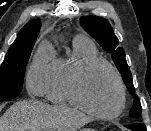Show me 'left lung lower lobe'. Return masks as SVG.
Here are the masks:
<instances>
[{"label":"left lung lower lobe","mask_w":151,"mask_h":131,"mask_svg":"<svg viewBox=\"0 0 151 131\" xmlns=\"http://www.w3.org/2000/svg\"><path fill=\"white\" fill-rule=\"evenodd\" d=\"M125 127L132 131H146V126L144 124L125 125Z\"/></svg>","instance_id":"obj_1"}]
</instances>
